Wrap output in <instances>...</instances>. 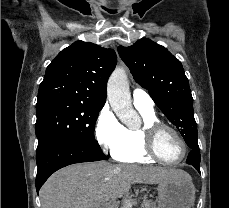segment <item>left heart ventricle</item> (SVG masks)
Listing matches in <instances>:
<instances>
[{
    "instance_id": "1",
    "label": "left heart ventricle",
    "mask_w": 229,
    "mask_h": 208,
    "mask_svg": "<svg viewBox=\"0 0 229 208\" xmlns=\"http://www.w3.org/2000/svg\"><path fill=\"white\" fill-rule=\"evenodd\" d=\"M170 130H163L158 139H155V152H159L162 160H178L185 154V147H178L169 134Z\"/></svg>"
}]
</instances>
